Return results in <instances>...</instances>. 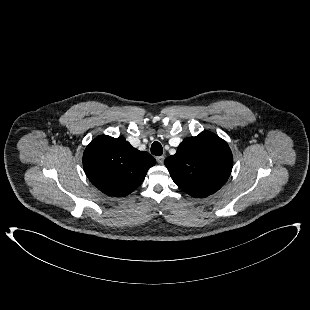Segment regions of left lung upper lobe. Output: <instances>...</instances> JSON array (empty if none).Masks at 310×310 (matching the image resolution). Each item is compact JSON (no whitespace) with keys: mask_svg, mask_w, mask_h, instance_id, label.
I'll use <instances>...</instances> for the list:
<instances>
[{"mask_svg":"<svg viewBox=\"0 0 310 310\" xmlns=\"http://www.w3.org/2000/svg\"><path fill=\"white\" fill-rule=\"evenodd\" d=\"M175 184L193 197H206L228 180L233 157L228 144L209 131L188 137L165 160Z\"/></svg>","mask_w":310,"mask_h":310,"instance_id":"5c2ea615","label":"left lung upper lobe"}]
</instances>
